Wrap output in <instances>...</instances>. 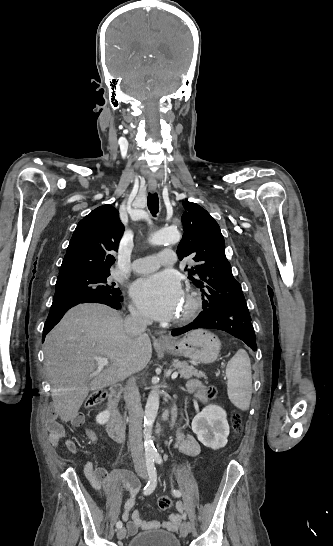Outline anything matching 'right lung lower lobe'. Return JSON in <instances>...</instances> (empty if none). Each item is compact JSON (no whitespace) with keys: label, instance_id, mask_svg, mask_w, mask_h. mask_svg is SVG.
<instances>
[{"label":"right lung lower lobe","instance_id":"right-lung-lower-lobe-1","mask_svg":"<svg viewBox=\"0 0 333 546\" xmlns=\"http://www.w3.org/2000/svg\"><path fill=\"white\" fill-rule=\"evenodd\" d=\"M87 302L106 304L118 310V309H121L120 302H122V297L115 296V295L114 296L94 295V296H87V297L53 302L50 308L48 318L44 325L42 339L44 340L46 334H48L49 331L60 321V319L63 317V315L66 313L67 310H69L71 307L76 306L80 303H87Z\"/></svg>","mask_w":333,"mask_h":546}]
</instances>
